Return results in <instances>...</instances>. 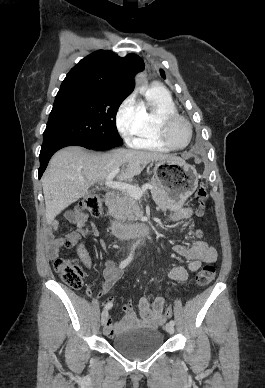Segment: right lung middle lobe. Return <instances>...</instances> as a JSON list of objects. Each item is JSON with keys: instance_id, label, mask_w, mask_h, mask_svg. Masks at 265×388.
I'll return each instance as SVG.
<instances>
[{"instance_id": "right-lung-middle-lobe-1", "label": "right lung middle lobe", "mask_w": 265, "mask_h": 388, "mask_svg": "<svg viewBox=\"0 0 265 388\" xmlns=\"http://www.w3.org/2000/svg\"><path fill=\"white\" fill-rule=\"evenodd\" d=\"M128 95L110 91L59 92L43 133V145L72 139L94 150L123 144L116 128V113Z\"/></svg>"}]
</instances>
